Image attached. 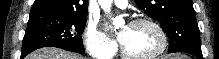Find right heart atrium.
Returning a JSON list of instances; mask_svg holds the SVG:
<instances>
[{"mask_svg":"<svg viewBox=\"0 0 219 59\" xmlns=\"http://www.w3.org/2000/svg\"><path fill=\"white\" fill-rule=\"evenodd\" d=\"M83 42L87 53L95 59L111 58L116 50L111 40L95 21H90L83 35Z\"/></svg>","mask_w":219,"mask_h":59,"instance_id":"obj_1","label":"right heart atrium"}]
</instances>
